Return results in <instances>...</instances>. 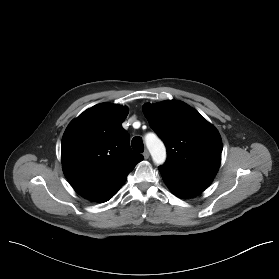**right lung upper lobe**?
<instances>
[{
	"label": "right lung upper lobe",
	"instance_id": "cb5924a9",
	"mask_svg": "<svg viewBox=\"0 0 279 279\" xmlns=\"http://www.w3.org/2000/svg\"><path fill=\"white\" fill-rule=\"evenodd\" d=\"M128 109L101 103L67 127L61 144L63 172L82 197L101 202L123 186L143 156L133 152L122 128Z\"/></svg>",
	"mask_w": 279,
	"mask_h": 279
}]
</instances>
